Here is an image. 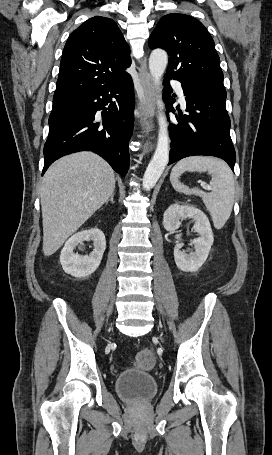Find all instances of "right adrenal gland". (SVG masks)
Masks as SVG:
<instances>
[{"mask_svg": "<svg viewBox=\"0 0 272 455\" xmlns=\"http://www.w3.org/2000/svg\"><path fill=\"white\" fill-rule=\"evenodd\" d=\"M111 201V203H115L114 201V193L110 196V198L106 201V204Z\"/></svg>", "mask_w": 272, "mask_h": 455, "instance_id": "1", "label": "right adrenal gland"}]
</instances>
